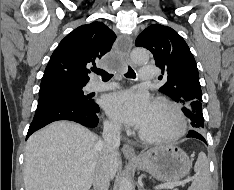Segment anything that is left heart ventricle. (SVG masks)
<instances>
[{
    "instance_id": "left-heart-ventricle-1",
    "label": "left heart ventricle",
    "mask_w": 234,
    "mask_h": 190,
    "mask_svg": "<svg viewBox=\"0 0 234 190\" xmlns=\"http://www.w3.org/2000/svg\"><path fill=\"white\" fill-rule=\"evenodd\" d=\"M176 125V119L168 109L153 104L149 118L140 130L147 134H161L173 131Z\"/></svg>"
}]
</instances>
